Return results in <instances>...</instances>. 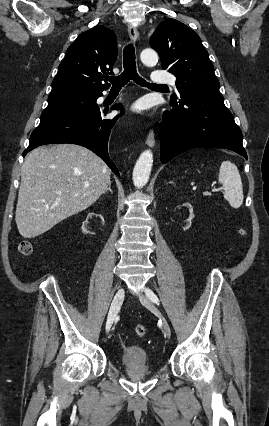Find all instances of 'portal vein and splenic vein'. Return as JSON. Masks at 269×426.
I'll return each mask as SVG.
<instances>
[{
    "mask_svg": "<svg viewBox=\"0 0 269 426\" xmlns=\"http://www.w3.org/2000/svg\"><path fill=\"white\" fill-rule=\"evenodd\" d=\"M220 190V188H214V189H212V191L214 192V191H219ZM207 194V193H206Z\"/></svg>",
    "mask_w": 269,
    "mask_h": 426,
    "instance_id": "portal-vein-and-splenic-vein-1",
    "label": "portal vein and splenic vein"
}]
</instances>
